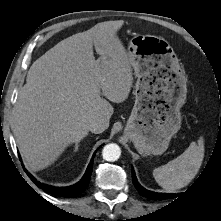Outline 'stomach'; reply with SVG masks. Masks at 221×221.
I'll return each mask as SVG.
<instances>
[{
  "label": "stomach",
  "instance_id": "stomach-1",
  "mask_svg": "<svg viewBox=\"0 0 221 221\" xmlns=\"http://www.w3.org/2000/svg\"><path fill=\"white\" fill-rule=\"evenodd\" d=\"M128 56L137 81L125 135L140 154L161 155L181 127L187 79L164 38L136 35L129 42Z\"/></svg>",
  "mask_w": 221,
  "mask_h": 221
}]
</instances>
